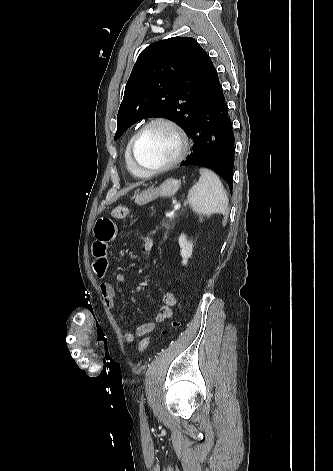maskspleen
I'll return each mask as SVG.
<instances>
[{
	"label": "spleen",
	"mask_w": 333,
	"mask_h": 471,
	"mask_svg": "<svg viewBox=\"0 0 333 471\" xmlns=\"http://www.w3.org/2000/svg\"><path fill=\"white\" fill-rule=\"evenodd\" d=\"M201 177L188 192V203L194 212L203 216L225 215L228 198L219 177L211 170L201 168Z\"/></svg>",
	"instance_id": "1"
}]
</instances>
